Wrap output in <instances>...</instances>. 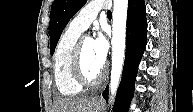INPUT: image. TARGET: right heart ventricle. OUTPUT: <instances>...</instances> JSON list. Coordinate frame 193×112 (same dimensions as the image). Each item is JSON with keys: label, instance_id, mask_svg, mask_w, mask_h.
Returning <instances> with one entry per match:
<instances>
[{"label": "right heart ventricle", "instance_id": "1", "mask_svg": "<svg viewBox=\"0 0 193 112\" xmlns=\"http://www.w3.org/2000/svg\"><path fill=\"white\" fill-rule=\"evenodd\" d=\"M80 31L68 26L59 38L54 52V78L58 91L63 96H75L82 92L72 75L71 61Z\"/></svg>", "mask_w": 193, "mask_h": 112}]
</instances>
